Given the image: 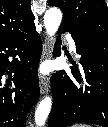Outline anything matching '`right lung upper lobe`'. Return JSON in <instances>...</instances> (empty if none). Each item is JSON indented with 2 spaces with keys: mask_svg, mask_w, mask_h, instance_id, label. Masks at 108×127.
<instances>
[{
  "mask_svg": "<svg viewBox=\"0 0 108 127\" xmlns=\"http://www.w3.org/2000/svg\"><path fill=\"white\" fill-rule=\"evenodd\" d=\"M33 27L30 0L0 1V39L20 35Z\"/></svg>",
  "mask_w": 108,
  "mask_h": 127,
  "instance_id": "1",
  "label": "right lung upper lobe"
}]
</instances>
